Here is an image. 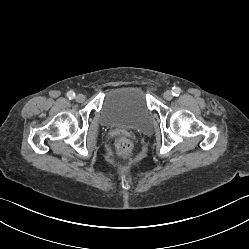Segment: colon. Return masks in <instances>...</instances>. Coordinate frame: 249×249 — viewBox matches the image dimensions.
I'll return each mask as SVG.
<instances>
[{
  "label": "colon",
  "instance_id": "5ec220e1",
  "mask_svg": "<svg viewBox=\"0 0 249 249\" xmlns=\"http://www.w3.org/2000/svg\"><path fill=\"white\" fill-rule=\"evenodd\" d=\"M117 153L124 159H128L132 151V143L128 138H120L116 142Z\"/></svg>",
  "mask_w": 249,
  "mask_h": 249
}]
</instances>
